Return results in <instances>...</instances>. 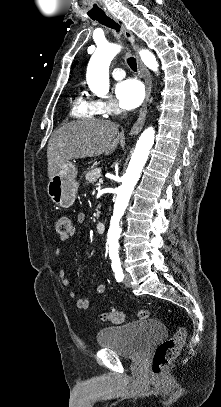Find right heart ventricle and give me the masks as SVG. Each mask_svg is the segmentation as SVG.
Instances as JSON below:
<instances>
[{"mask_svg": "<svg viewBox=\"0 0 221 407\" xmlns=\"http://www.w3.org/2000/svg\"><path fill=\"white\" fill-rule=\"evenodd\" d=\"M99 114L93 101L87 99L81 92L75 93L70 104L71 117L94 119Z\"/></svg>", "mask_w": 221, "mask_h": 407, "instance_id": "e07e8e85", "label": "right heart ventricle"}]
</instances>
